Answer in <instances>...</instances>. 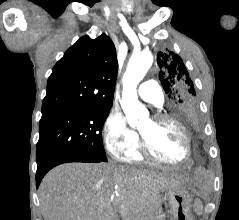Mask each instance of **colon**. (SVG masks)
<instances>
[{
  "label": "colon",
  "mask_w": 239,
  "mask_h": 220,
  "mask_svg": "<svg viewBox=\"0 0 239 220\" xmlns=\"http://www.w3.org/2000/svg\"><path fill=\"white\" fill-rule=\"evenodd\" d=\"M179 220H185V216H182L181 218H179Z\"/></svg>",
  "instance_id": "1"
}]
</instances>
